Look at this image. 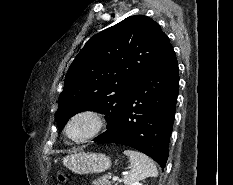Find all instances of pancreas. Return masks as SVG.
<instances>
[{
    "label": "pancreas",
    "instance_id": "obj_1",
    "mask_svg": "<svg viewBox=\"0 0 233 185\" xmlns=\"http://www.w3.org/2000/svg\"><path fill=\"white\" fill-rule=\"evenodd\" d=\"M108 178V176L99 177L93 181V185H111V181Z\"/></svg>",
    "mask_w": 233,
    "mask_h": 185
}]
</instances>
